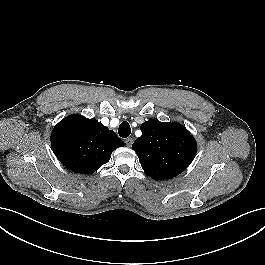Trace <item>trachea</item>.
<instances>
[{
  "label": "trachea",
  "instance_id": "1",
  "mask_svg": "<svg viewBox=\"0 0 265 265\" xmlns=\"http://www.w3.org/2000/svg\"><path fill=\"white\" fill-rule=\"evenodd\" d=\"M118 133L120 137L127 138L131 134V128L128 122L124 121L120 124Z\"/></svg>",
  "mask_w": 265,
  "mask_h": 265
}]
</instances>
